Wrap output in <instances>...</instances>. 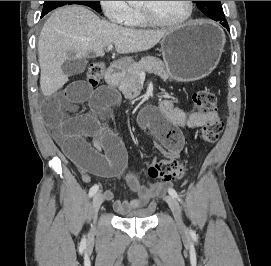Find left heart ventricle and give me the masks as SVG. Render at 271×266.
Masks as SVG:
<instances>
[{"instance_id":"obj_1","label":"left heart ventricle","mask_w":271,"mask_h":266,"mask_svg":"<svg viewBox=\"0 0 271 266\" xmlns=\"http://www.w3.org/2000/svg\"><path fill=\"white\" fill-rule=\"evenodd\" d=\"M139 5L167 21H178L185 17L188 11L187 1H141Z\"/></svg>"}]
</instances>
